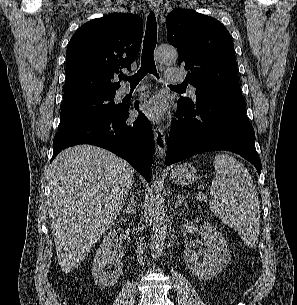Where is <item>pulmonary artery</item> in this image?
<instances>
[{
  "instance_id": "pulmonary-artery-1",
  "label": "pulmonary artery",
  "mask_w": 297,
  "mask_h": 305,
  "mask_svg": "<svg viewBox=\"0 0 297 305\" xmlns=\"http://www.w3.org/2000/svg\"><path fill=\"white\" fill-rule=\"evenodd\" d=\"M166 80L172 83H180L182 81V70L181 69H169L165 73ZM144 90L143 86H139L134 90H131L129 87H122L119 90L120 96H126L131 93H139ZM190 92L193 96H195L196 88L194 86H190Z\"/></svg>"
}]
</instances>
